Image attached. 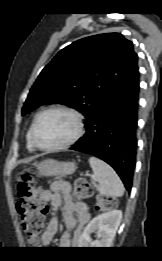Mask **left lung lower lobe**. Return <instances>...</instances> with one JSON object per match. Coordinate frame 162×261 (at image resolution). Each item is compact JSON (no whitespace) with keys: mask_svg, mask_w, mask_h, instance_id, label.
Returning <instances> with one entry per match:
<instances>
[{"mask_svg":"<svg viewBox=\"0 0 162 261\" xmlns=\"http://www.w3.org/2000/svg\"><path fill=\"white\" fill-rule=\"evenodd\" d=\"M138 94L137 70L94 109L85 122V135L70 148L107 162L128 191L136 159Z\"/></svg>","mask_w":162,"mask_h":261,"instance_id":"left-lung-lower-lobe-1","label":"left lung lower lobe"}]
</instances>
